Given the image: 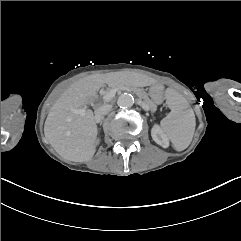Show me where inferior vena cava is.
Listing matches in <instances>:
<instances>
[{
    "mask_svg": "<svg viewBox=\"0 0 241 241\" xmlns=\"http://www.w3.org/2000/svg\"><path fill=\"white\" fill-rule=\"evenodd\" d=\"M112 109L111 104H104L95 111V122L99 123L102 120V116L110 112Z\"/></svg>",
    "mask_w": 241,
    "mask_h": 241,
    "instance_id": "obj_1",
    "label": "inferior vena cava"
}]
</instances>
